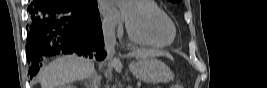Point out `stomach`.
Returning a JSON list of instances; mask_svg holds the SVG:
<instances>
[{"label": "stomach", "instance_id": "stomach-1", "mask_svg": "<svg viewBox=\"0 0 267 88\" xmlns=\"http://www.w3.org/2000/svg\"><path fill=\"white\" fill-rule=\"evenodd\" d=\"M132 74L148 83L168 82L172 79V72L162 61L146 58L130 64Z\"/></svg>", "mask_w": 267, "mask_h": 88}]
</instances>
